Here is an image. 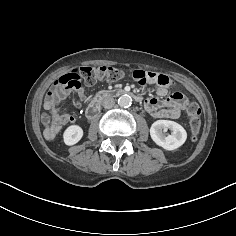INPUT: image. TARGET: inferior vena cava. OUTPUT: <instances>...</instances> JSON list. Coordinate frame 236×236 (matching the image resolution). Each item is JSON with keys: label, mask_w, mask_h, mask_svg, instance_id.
I'll return each mask as SVG.
<instances>
[{"label": "inferior vena cava", "mask_w": 236, "mask_h": 236, "mask_svg": "<svg viewBox=\"0 0 236 236\" xmlns=\"http://www.w3.org/2000/svg\"><path fill=\"white\" fill-rule=\"evenodd\" d=\"M102 105L104 108L106 109H110L115 105V100L112 97H106L103 101H102Z\"/></svg>", "instance_id": "obj_1"}]
</instances>
